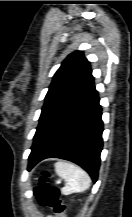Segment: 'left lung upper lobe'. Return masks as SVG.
Instances as JSON below:
<instances>
[{
	"instance_id": "5c2ea615",
	"label": "left lung upper lobe",
	"mask_w": 132,
	"mask_h": 217,
	"mask_svg": "<svg viewBox=\"0 0 132 217\" xmlns=\"http://www.w3.org/2000/svg\"><path fill=\"white\" fill-rule=\"evenodd\" d=\"M93 79L90 63L82 51L68 55L55 73L45 97L33 146L51 122L93 84Z\"/></svg>"
}]
</instances>
